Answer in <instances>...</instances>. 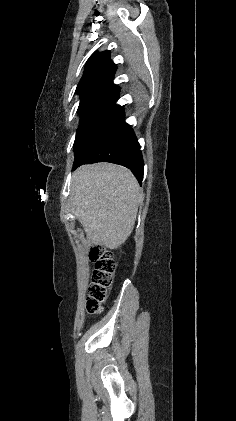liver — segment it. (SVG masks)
Segmentation results:
<instances>
[{
	"label": "liver",
	"mask_w": 236,
	"mask_h": 421,
	"mask_svg": "<svg viewBox=\"0 0 236 421\" xmlns=\"http://www.w3.org/2000/svg\"><path fill=\"white\" fill-rule=\"evenodd\" d=\"M141 198L137 178L119 164H82L72 174L70 200L93 245H123L134 229Z\"/></svg>",
	"instance_id": "1"
}]
</instances>
